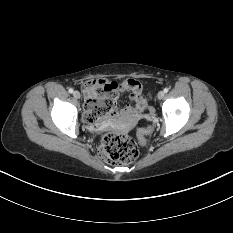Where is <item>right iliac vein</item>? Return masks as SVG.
Here are the masks:
<instances>
[{
  "label": "right iliac vein",
  "mask_w": 233,
  "mask_h": 233,
  "mask_svg": "<svg viewBox=\"0 0 233 233\" xmlns=\"http://www.w3.org/2000/svg\"><path fill=\"white\" fill-rule=\"evenodd\" d=\"M73 96H74L76 99H79L81 95H80V92L74 91Z\"/></svg>",
  "instance_id": "1"
}]
</instances>
